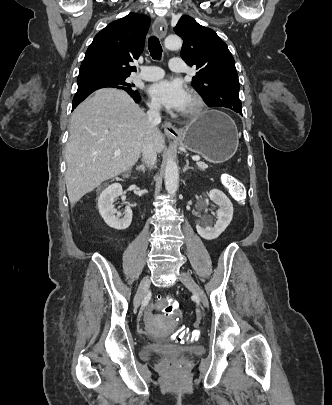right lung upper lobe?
Instances as JSON below:
<instances>
[{
	"instance_id": "right-lung-upper-lobe-1",
	"label": "right lung upper lobe",
	"mask_w": 332,
	"mask_h": 405,
	"mask_svg": "<svg viewBox=\"0 0 332 405\" xmlns=\"http://www.w3.org/2000/svg\"><path fill=\"white\" fill-rule=\"evenodd\" d=\"M149 23V17L136 13L111 22L94 37L80 66L79 75H130L136 71L131 63L139 58L144 49Z\"/></svg>"
}]
</instances>
